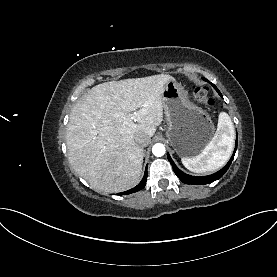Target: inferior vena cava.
Wrapping results in <instances>:
<instances>
[{"instance_id":"602c4592","label":"inferior vena cava","mask_w":277,"mask_h":277,"mask_svg":"<svg viewBox=\"0 0 277 277\" xmlns=\"http://www.w3.org/2000/svg\"><path fill=\"white\" fill-rule=\"evenodd\" d=\"M135 141L141 146L145 147L149 144L150 139L144 133H138L135 136Z\"/></svg>"}]
</instances>
